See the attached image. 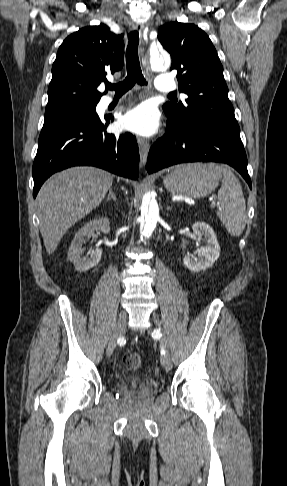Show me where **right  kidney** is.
I'll return each instance as SVG.
<instances>
[{
	"label": "right kidney",
	"instance_id": "1",
	"mask_svg": "<svg viewBox=\"0 0 287 486\" xmlns=\"http://www.w3.org/2000/svg\"><path fill=\"white\" fill-rule=\"evenodd\" d=\"M100 230L103 233H109L110 222L107 218L93 219L85 224L76 234L69 247L68 259L73 263L78 271H87L96 266L102 256L101 249L90 250L87 256H82L84 249L82 244L85 237H90L95 231ZM90 256V257H89Z\"/></svg>",
	"mask_w": 287,
	"mask_h": 486
}]
</instances>
